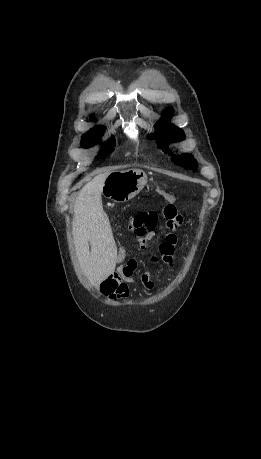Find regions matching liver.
Instances as JSON below:
<instances>
[{
	"instance_id": "obj_1",
	"label": "liver",
	"mask_w": 261,
	"mask_h": 459,
	"mask_svg": "<svg viewBox=\"0 0 261 459\" xmlns=\"http://www.w3.org/2000/svg\"><path fill=\"white\" fill-rule=\"evenodd\" d=\"M111 172L101 171L87 182L74 206L72 234L77 258L85 276L96 288L115 271L117 262V247L101 199L105 180Z\"/></svg>"
}]
</instances>
